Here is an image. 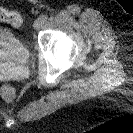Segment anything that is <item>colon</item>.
Instances as JSON below:
<instances>
[{
	"instance_id": "1",
	"label": "colon",
	"mask_w": 133,
	"mask_h": 133,
	"mask_svg": "<svg viewBox=\"0 0 133 133\" xmlns=\"http://www.w3.org/2000/svg\"><path fill=\"white\" fill-rule=\"evenodd\" d=\"M0 21H5L14 26H18L21 23V18L18 13L0 7ZM1 94L2 97L7 101L13 100L15 95L14 91L11 88L2 89Z\"/></svg>"
}]
</instances>
